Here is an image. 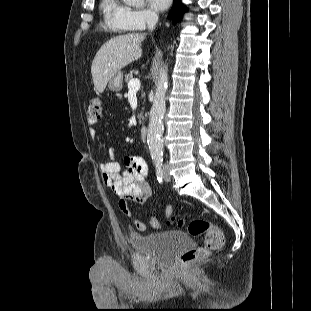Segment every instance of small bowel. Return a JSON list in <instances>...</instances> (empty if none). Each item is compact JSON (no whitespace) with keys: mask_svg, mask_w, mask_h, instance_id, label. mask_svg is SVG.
<instances>
[{"mask_svg":"<svg viewBox=\"0 0 311 311\" xmlns=\"http://www.w3.org/2000/svg\"><path fill=\"white\" fill-rule=\"evenodd\" d=\"M96 123L97 121L88 120L89 133L93 138L96 135L94 130ZM116 155V151L110 150V160L99 163L102 181L119 196V208L133 221L136 229L145 231V223L136 217L128 202L143 204L151 194V187L147 181L148 167L146 161L140 155H130L123 157L122 165L121 162L115 159ZM166 209L169 211V207H166ZM150 222L154 227H161V224L152 213H150Z\"/></svg>","mask_w":311,"mask_h":311,"instance_id":"small-bowel-1","label":"small bowel"}]
</instances>
